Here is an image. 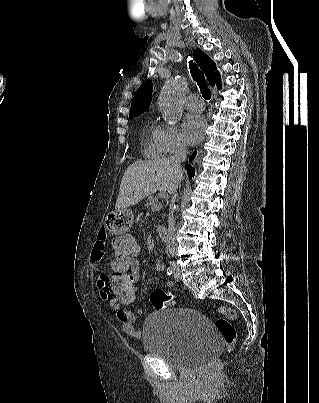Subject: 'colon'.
Returning a JSON list of instances; mask_svg holds the SVG:
<instances>
[{"mask_svg": "<svg viewBox=\"0 0 319 403\" xmlns=\"http://www.w3.org/2000/svg\"><path fill=\"white\" fill-rule=\"evenodd\" d=\"M141 251L139 234H113L111 273L113 274V295L118 304L138 303L136 291L139 285L135 282L132 268H139L140 261L137 259V254H141ZM149 299L157 310L166 309L174 303V296L164 289L153 290ZM215 311L221 315L215 322L216 328L226 349L232 351L236 343V331L232 324L236 313L227 307H219ZM219 365L218 359L211 360L207 365L206 374L215 372Z\"/></svg>", "mask_w": 319, "mask_h": 403, "instance_id": "1", "label": "colon"}]
</instances>
